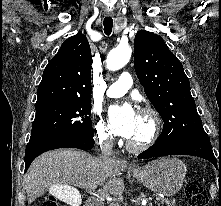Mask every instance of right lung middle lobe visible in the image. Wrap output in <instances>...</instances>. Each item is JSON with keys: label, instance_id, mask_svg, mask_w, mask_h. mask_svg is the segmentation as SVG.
Listing matches in <instances>:
<instances>
[{"label": "right lung middle lobe", "instance_id": "dd1d6c3e", "mask_svg": "<svg viewBox=\"0 0 221 206\" xmlns=\"http://www.w3.org/2000/svg\"><path fill=\"white\" fill-rule=\"evenodd\" d=\"M91 103H54L36 107L29 141L62 136H94Z\"/></svg>", "mask_w": 221, "mask_h": 206}]
</instances>
